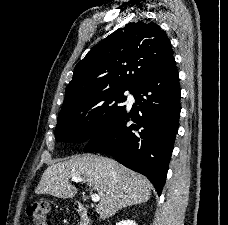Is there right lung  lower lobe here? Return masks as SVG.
Here are the masks:
<instances>
[{
    "label": "right lung lower lobe",
    "instance_id": "obj_1",
    "mask_svg": "<svg viewBox=\"0 0 228 225\" xmlns=\"http://www.w3.org/2000/svg\"><path fill=\"white\" fill-rule=\"evenodd\" d=\"M174 57L141 81L125 108L88 140L86 152H107L124 166L145 175L158 195L163 189L179 126V76ZM133 121L134 124H128Z\"/></svg>",
    "mask_w": 228,
    "mask_h": 225
}]
</instances>
